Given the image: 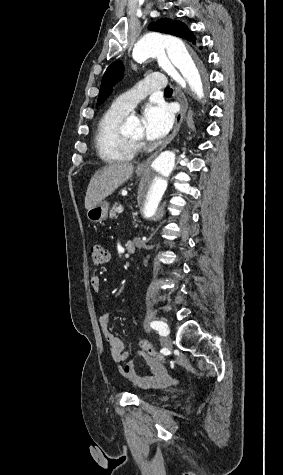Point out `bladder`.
<instances>
[{
  "instance_id": "31cf9c89",
  "label": "bladder",
  "mask_w": 283,
  "mask_h": 475,
  "mask_svg": "<svg viewBox=\"0 0 283 475\" xmlns=\"http://www.w3.org/2000/svg\"><path fill=\"white\" fill-rule=\"evenodd\" d=\"M149 398L155 402L161 403V402L166 401L168 399V396L158 393V394L150 396Z\"/></svg>"
}]
</instances>
